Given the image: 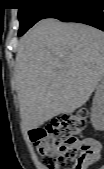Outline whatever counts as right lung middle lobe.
Returning a JSON list of instances; mask_svg holds the SVG:
<instances>
[{
  "label": "right lung middle lobe",
  "instance_id": "1",
  "mask_svg": "<svg viewBox=\"0 0 104 169\" xmlns=\"http://www.w3.org/2000/svg\"><path fill=\"white\" fill-rule=\"evenodd\" d=\"M61 0H19L18 17L20 21L19 36H22L36 22L44 19Z\"/></svg>",
  "mask_w": 104,
  "mask_h": 169
}]
</instances>
